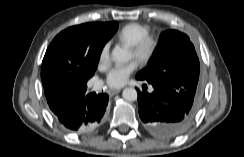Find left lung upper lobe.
<instances>
[{
  "instance_id": "5c2ea615",
  "label": "left lung upper lobe",
  "mask_w": 244,
  "mask_h": 157,
  "mask_svg": "<svg viewBox=\"0 0 244 157\" xmlns=\"http://www.w3.org/2000/svg\"><path fill=\"white\" fill-rule=\"evenodd\" d=\"M136 78L157 84L196 112L201 98L199 59L186 34L177 30L163 32L157 53Z\"/></svg>"
}]
</instances>
